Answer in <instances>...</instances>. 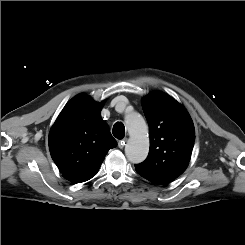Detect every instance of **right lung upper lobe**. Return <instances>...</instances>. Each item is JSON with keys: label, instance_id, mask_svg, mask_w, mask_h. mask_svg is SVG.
Masks as SVG:
<instances>
[{"label": "right lung upper lobe", "instance_id": "obj_1", "mask_svg": "<svg viewBox=\"0 0 245 245\" xmlns=\"http://www.w3.org/2000/svg\"><path fill=\"white\" fill-rule=\"evenodd\" d=\"M102 107L103 102L77 95L65 105L51 128V157L63 177L73 183L95 176L107 152L117 146L100 116Z\"/></svg>", "mask_w": 245, "mask_h": 245}]
</instances>
